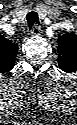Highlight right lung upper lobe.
<instances>
[{"mask_svg":"<svg viewBox=\"0 0 77 125\" xmlns=\"http://www.w3.org/2000/svg\"><path fill=\"white\" fill-rule=\"evenodd\" d=\"M18 46L0 36V72H7L14 67Z\"/></svg>","mask_w":77,"mask_h":125,"instance_id":"cb5924a9","label":"right lung upper lobe"}]
</instances>
